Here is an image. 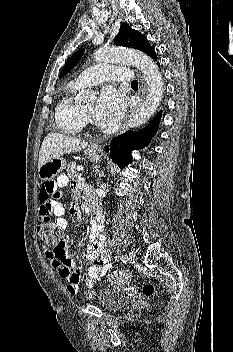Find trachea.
Returning a JSON list of instances; mask_svg holds the SVG:
<instances>
[{
	"label": "trachea",
	"mask_w": 233,
	"mask_h": 352,
	"mask_svg": "<svg viewBox=\"0 0 233 352\" xmlns=\"http://www.w3.org/2000/svg\"><path fill=\"white\" fill-rule=\"evenodd\" d=\"M131 84L132 85H138V82H137V80H134V81L131 82Z\"/></svg>",
	"instance_id": "trachea-1"
}]
</instances>
